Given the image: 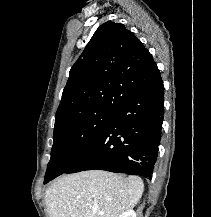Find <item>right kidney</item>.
<instances>
[{
  "label": "right kidney",
  "instance_id": "ca27d5eb",
  "mask_svg": "<svg viewBox=\"0 0 211 217\" xmlns=\"http://www.w3.org/2000/svg\"><path fill=\"white\" fill-rule=\"evenodd\" d=\"M119 217H137L136 213L133 210H128L121 214Z\"/></svg>",
  "mask_w": 211,
  "mask_h": 217
}]
</instances>
